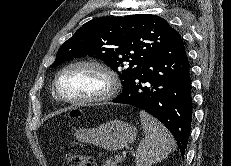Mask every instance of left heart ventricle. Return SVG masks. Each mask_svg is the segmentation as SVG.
<instances>
[{"mask_svg":"<svg viewBox=\"0 0 231 166\" xmlns=\"http://www.w3.org/2000/svg\"><path fill=\"white\" fill-rule=\"evenodd\" d=\"M58 87L66 98H86L102 93L107 87V79L95 68L79 66L63 73Z\"/></svg>","mask_w":231,"mask_h":166,"instance_id":"b2bd125f","label":"left heart ventricle"}]
</instances>
